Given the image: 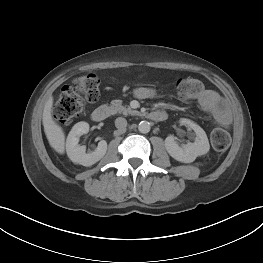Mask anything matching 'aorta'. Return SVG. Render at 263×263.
<instances>
[{"label": "aorta", "instance_id": "aorta-1", "mask_svg": "<svg viewBox=\"0 0 263 263\" xmlns=\"http://www.w3.org/2000/svg\"><path fill=\"white\" fill-rule=\"evenodd\" d=\"M151 127H150V123L148 121H141L138 125V130L141 133H148L150 131Z\"/></svg>", "mask_w": 263, "mask_h": 263}]
</instances>
